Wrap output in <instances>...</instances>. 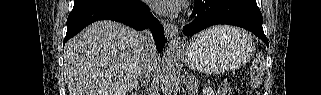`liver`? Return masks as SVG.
<instances>
[{
	"mask_svg": "<svg viewBox=\"0 0 321 95\" xmlns=\"http://www.w3.org/2000/svg\"><path fill=\"white\" fill-rule=\"evenodd\" d=\"M149 58L155 67L156 51L152 55L142 34L117 22H95L66 43L70 95H128L142 80Z\"/></svg>",
	"mask_w": 321,
	"mask_h": 95,
	"instance_id": "6515ba94",
	"label": "liver"
}]
</instances>
